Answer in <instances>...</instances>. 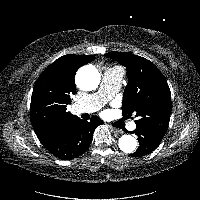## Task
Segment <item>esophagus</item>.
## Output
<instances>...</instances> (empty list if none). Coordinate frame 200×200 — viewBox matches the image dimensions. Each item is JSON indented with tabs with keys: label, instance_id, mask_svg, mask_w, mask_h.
Masks as SVG:
<instances>
[{
	"label": "esophagus",
	"instance_id": "esophagus-1",
	"mask_svg": "<svg viewBox=\"0 0 200 200\" xmlns=\"http://www.w3.org/2000/svg\"><path fill=\"white\" fill-rule=\"evenodd\" d=\"M109 129L115 134L121 133V131L115 127L109 126Z\"/></svg>",
	"mask_w": 200,
	"mask_h": 200
}]
</instances>
